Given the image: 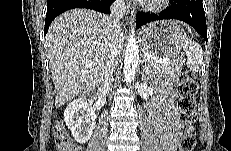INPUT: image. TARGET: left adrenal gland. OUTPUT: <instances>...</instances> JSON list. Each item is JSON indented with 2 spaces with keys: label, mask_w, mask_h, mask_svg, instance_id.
Wrapping results in <instances>:
<instances>
[{
  "label": "left adrenal gland",
  "mask_w": 231,
  "mask_h": 151,
  "mask_svg": "<svg viewBox=\"0 0 231 151\" xmlns=\"http://www.w3.org/2000/svg\"><path fill=\"white\" fill-rule=\"evenodd\" d=\"M146 60H145V58L143 57V60H142V63H144ZM148 73V69H147V67L145 66L144 67V70H143V72H142V78L143 79H145L146 78V74Z\"/></svg>",
  "instance_id": "obj_1"
}]
</instances>
